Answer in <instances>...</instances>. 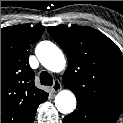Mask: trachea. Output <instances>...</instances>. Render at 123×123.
I'll use <instances>...</instances> for the list:
<instances>
[{
	"mask_svg": "<svg viewBox=\"0 0 123 123\" xmlns=\"http://www.w3.org/2000/svg\"><path fill=\"white\" fill-rule=\"evenodd\" d=\"M40 82L42 85L50 86L53 84L52 76L47 71H43L40 73Z\"/></svg>",
	"mask_w": 123,
	"mask_h": 123,
	"instance_id": "1",
	"label": "trachea"
}]
</instances>
